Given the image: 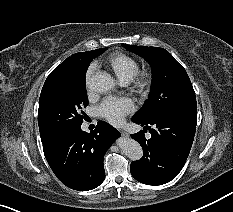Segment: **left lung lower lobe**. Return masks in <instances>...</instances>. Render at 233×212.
Masks as SVG:
<instances>
[{
	"label": "left lung lower lobe",
	"mask_w": 233,
	"mask_h": 212,
	"mask_svg": "<svg viewBox=\"0 0 233 212\" xmlns=\"http://www.w3.org/2000/svg\"><path fill=\"white\" fill-rule=\"evenodd\" d=\"M132 121L150 129L147 140L141 130L131 137L143 148V157L131 163L132 176L147 185H162L170 182L183 168L189 155L197 118L175 114H161L148 121ZM151 125L154 129H151Z\"/></svg>",
	"instance_id": "left-lung-lower-lobe-1"
}]
</instances>
